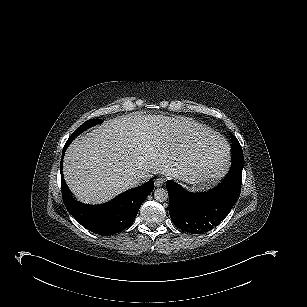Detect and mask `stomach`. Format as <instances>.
Here are the masks:
<instances>
[{"mask_svg": "<svg viewBox=\"0 0 307 307\" xmlns=\"http://www.w3.org/2000/svg\"><path fill=\"white\" fill-rule=\"evenodd\" d=\"M224 169L204 170L198 175L189 176L187 183L191 184V188L195 190H202L215 184L223 175Z\"/></svg>", "mask_w": 307, "mask_h": 307, "instance_id": "stomach-1", "label": "stomach"}]
</instances>
